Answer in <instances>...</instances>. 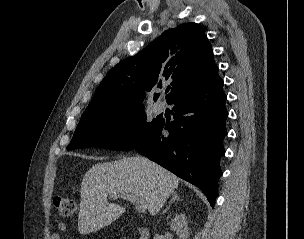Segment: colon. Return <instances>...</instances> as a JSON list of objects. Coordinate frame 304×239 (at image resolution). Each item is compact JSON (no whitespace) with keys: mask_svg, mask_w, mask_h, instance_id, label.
Wrapping results in <instances>:
<instances>
[{"mask_svg":"<svg viewBox=\"0 0 304 239\" xmlns=\"http://www.w3.org/2000/svg\"><path fill=\"white\" fill-rule=\"evenodd\" d=\"M54 205L63 218L72 217L77 211L78 204L77 202L69 197L59 196L54 199Z\"/></svg>","mask_w":304,"mask_h":239,"instance_id":"obj_1","label":"colon"}]
</instances>
